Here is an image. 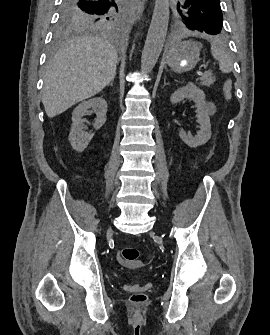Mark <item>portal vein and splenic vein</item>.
<instances>
[{"label":"portal vein and splenic vein","mask_w":270,"mask_h":335,"mask_svg":"<svg viewBox=\"0 0 270 335\" xmlns=\"http://www.w3.org/2000/svg\"><path fill=\"white\" fill-rule=\"evenodd\" d=\"M206 65H208V64H206L205 62L202 64V68L204 69V68H206ZM197 74H204V71H201V72H197Z\"/></svg>","instance_id":"obj_1"}]
</instances>
